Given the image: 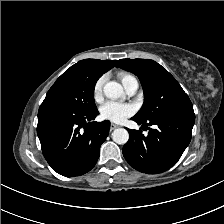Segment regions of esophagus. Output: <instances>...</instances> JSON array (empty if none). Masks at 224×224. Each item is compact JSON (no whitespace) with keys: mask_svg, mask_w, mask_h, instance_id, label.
Masks as SVG:
<instances>
[{"mask_svg":"<svg viewBox=\"0 0 224 224\" xmlns=\"http://www.w3.org/2000/svg\"><path fill=\"white\" fill-rule=\"evenodd\" d=\"M118 127H119V126L116 125V124H114V123H111V124H110V129H111V130H114V129L118 128Z\"/></svg>","mask_w":224,"mask_h":224,"instance_id":"obj_1","label":"esophagus"}]
</instances>
